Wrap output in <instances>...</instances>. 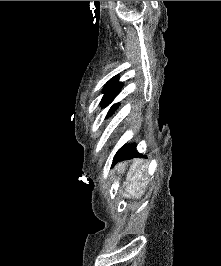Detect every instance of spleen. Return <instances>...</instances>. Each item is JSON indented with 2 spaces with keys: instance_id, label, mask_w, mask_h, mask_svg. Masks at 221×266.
<instances>
[{
  "instance_id": "3e777b00",
  "label": "spleen",
  "mask_w": 221,
  "mask_h": 266,
  "mask_svg": "<svg viewBox=\"0 0 221 266\" xmlns=\"http://www.w3.org/2000/svg\"><path fill=\"white\" fill-rule=\"evenodd\" d=\"M149 165H142L140 159L135 160L128 173V181L130 185L127 187L128 193L139 198L144 194L146 185L148 184Z\"/></svg>"
}]
</instances>
